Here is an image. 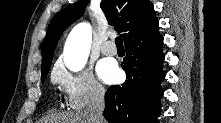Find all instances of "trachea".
Instances as JSON below:
<instances>
[{
	"label": "trachea",
	"mask_w": 221,
	"mask_h": 123,
	"mask_svg": "<svg viewBox=\"0 0 221 123\" xmlns=\"http://www.w3.org/2000/svg\"><path fill=\"white\" fill-rule=\"evenodd\" d=\"M115 44L118 48H123V40L121 36L116 37Z\"/></svg>",
	"instance_id": "3493384b"
}]
</instances>
